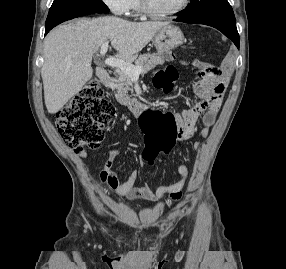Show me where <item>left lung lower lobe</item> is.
Segmentation results:
<instances>
[{"mask_svg": "<svg viewBox=\"0 0 286 269\" xmlns=\"http://www.w3.org/2000/svg\"><path fill=\"white\" fill-rule=\"evenodd\" d=\"M176 21L185 23H200L212 26L220 30L225 36L233 41V43L239 49V34L236 28V22L225 21V20H215V19H202V20H184L178 17Z\"/></svg>", "mask_w": 286, "mask_h": 269, "instance_id": "obj_1", "label": "left lung lower lobe"}]
</instances>
